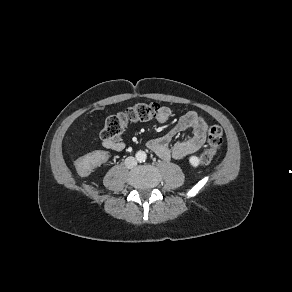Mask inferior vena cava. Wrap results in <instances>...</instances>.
I'll list each match as a JSON object with an SVG mask.
<instances>
[{"label":"inferior vena cava","instance_id":"602c4592","mask_svg":"<svg viewBox=\"0 0 292 292\" xmlns=\"http://www.w3.org/2000/svg\"><path fill=\"white\" fill-rule=\"evenodd\" d=\"M136 165H137V160L134 157L130 156L125 159V166L128 169H131L135 167Z\"/></svg>","mask_w":292,"mask_h":292}]
</instances>
